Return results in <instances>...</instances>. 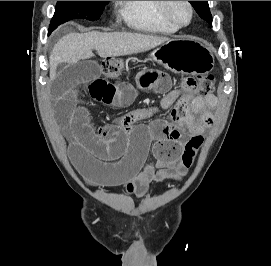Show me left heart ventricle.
<instances>
[{"label": "left heart ventricle", "mask_w": 271, "mask_h": 266, "mask_svg": "<svg viewBox=\"0 0 271 266\" xmlns=\"http://www.w3.org/2000/svg\"><path fill=\"white\" fill-rule=\"evenodd\" d=\"M174 18L180 23H187L190 18V11L184 1H175L171 7Z\"/></svg>", "instance_id": "left-heart-ventricle-1"}]
</instances>
